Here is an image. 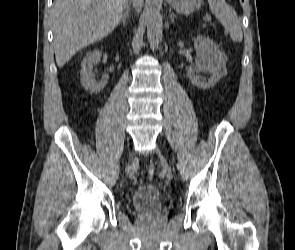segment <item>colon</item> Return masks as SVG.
<instances>
[{"mask_svg": "<svg viewBox=\"0 0 295 250\" xmlns=\"http://www.w3.org/2000/svg\"><path fill=\"white\" fill-rule=\"evenodd\" d=\"M147 174H148V177H149V178L154 177V175H155V169H154V167H150V168L148 169Z\"/></svg>", "mask_w": 295, "mask_h": 250, "instance_id": "1", "label": "colon"}]
</instances>
